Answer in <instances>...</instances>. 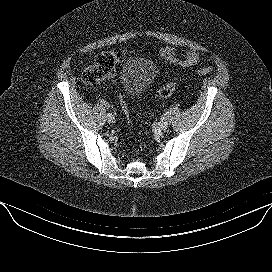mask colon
<instances>
[{"label": "colon", "instance_id": "obj_1", "mask_svg": "<svg viewBox=\"0 0 272 272\" xmlns=\"http://www.w3.org/2000/svg\"><path fill=\"white\" fill-rule=\"evenodd\" d=\"M127 51H109L99 54L94 62L86 67L81 73V80L89 85H97L102 80L111 77L116 70V65L123 59ZM213 72L212 67H203L196 71L199 75ZM178 87V82L173 81L157 90L159 97L170 96ZM120 104L125 115H128V108L124 100L120 99Z\"/></svg>", "mask_w": 272, "mask_h": 272}]
</instances>
